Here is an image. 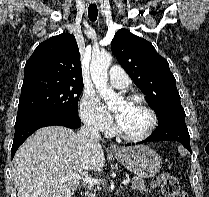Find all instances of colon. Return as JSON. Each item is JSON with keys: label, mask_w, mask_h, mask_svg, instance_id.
Segmentation results:
<instances>
[{"label": "colon", "mask_w": 209, "mask_h": 197, "mask_svg": "<svg viewBox=\"0 0 209 197\" xmlns=\"http://www.w3.org/2000/svg\"><path fill=\"white\" fill-rule=\"evenodd\" d=\"M153 185L161 189L165 197H188L179 185L178 180L168 174H161L155 178Z\"/></svg>", "instance_id": "colon-1"}]
</instances>
